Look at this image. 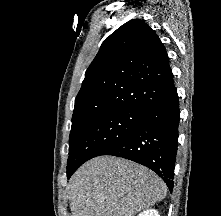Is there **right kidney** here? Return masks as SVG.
Returning <instances> with one entry per match:
<instances>
[{
  "instance_id": "ca27d5eb",
  "label": "right kidney",
  "mask_w": 221,
  "mask_h": 216,
  "mask_svg": "<svg viewBox=\"0 0 221 216\" xmlns=\"http://www.w3.org/2000/svg\"><path fill=\"white\" fill-rule=\"evenodd\" d=\"M138 216H160V214L155 209H147L140 213Z\"/></svg>"
}]
</instances>
